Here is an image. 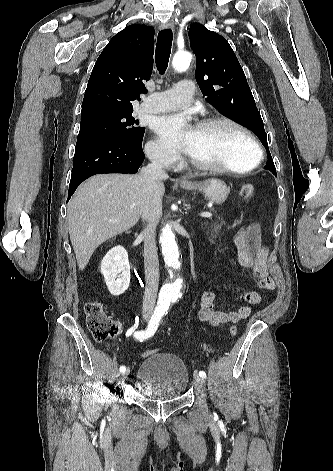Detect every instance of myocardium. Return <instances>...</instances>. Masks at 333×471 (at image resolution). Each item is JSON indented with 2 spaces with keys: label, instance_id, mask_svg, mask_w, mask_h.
I'll use <instances>...</instances> for the list:
<instances>
[{
  "label": "myocardium",
  "instance_id": "f54148a6",
  "mask_svg": "<svg viewBox=\"0 0 333 471\" xmlns=\"http://www.w3.org/2000/svg\"><path fill=\"white\" fill-rule=\"evenodd\" d=\"M215 124H228L236 128L242 134H244L254 148V151H255L254 161L252 162L251 165H249L246 168L236 169V168L228 167L225 165L204 162L190 155L189 157L190 163L199 170L209 171V172H218V173L247 174L255 170L261 163L262 149L258 140L253 135V133L240 122L226 116H214V117L206 118L199 122L198 128H206Z\"/></svg>",
  "mask_w": 333,
  "mask_h": 471
}]
</instances>
